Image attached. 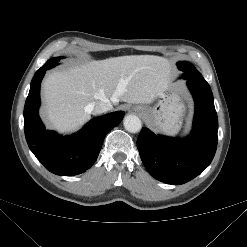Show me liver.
Returning <instances> with one entry per match:
<instances>
[{
    "mask_svg": "<svg viewBox=\"0 0 247 247\" xmlns=\"http://www.w3.org/2000/svg\"><path fill=\"white\" fill-rule=\"evenodd\" d=\"M169 71L168 60L154 55L111 57L55 71L43 83V114L50 127L74 132L89 120L92 102L153 103L164 94Z\"/></svg>",
    "mask_w": 247,
    "mask_h": 247,
    "instance_id": "obj_1",
    "label": "liver"
}]
</instances>
